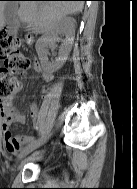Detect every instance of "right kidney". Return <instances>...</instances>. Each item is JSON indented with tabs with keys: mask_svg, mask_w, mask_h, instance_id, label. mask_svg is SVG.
<instances>
[{
	"mask_svg": "<svg viewBox=\"0 0 137 189\" xmlns=\"http://www.w3.org/2000/svg\"><path fill=\"white\" fill-rule=\"evenodd\" d=\"M73 22L74 20L71 18H62L51 30L46 32L37 40L36 51L41 65L45 71L55 72L59 70L68 59L75 36ZM58 34H63L66 36V38L62 41L60 46L58 58H56L54 61H49L48 48H55V42L57 40Z\"/></svg>",
	"mask_w": 137,
	"mask_h": 189,
	"instance_id": "1",
	"label": "right kidney"
}]
</instances>
